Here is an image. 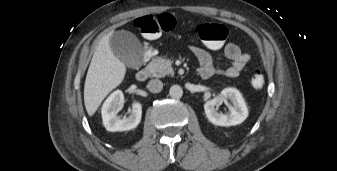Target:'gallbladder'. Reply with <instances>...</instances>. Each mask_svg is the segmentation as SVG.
<instances>
[{"mask_svg": "<svg viewBox=\"0 0 337 171\" xmlns=\"http://www.w3.org/2000/svg\"><path fill=\"white\" fill-rule=\"evenodd\" d=\"M110 47L114 55L128 67L139 68L144 57V50L139 40L130 32L117 31L110 38Z\"/></svg>", "mask_w": 337, "mask_h": 171, "instance_id": "obj_1", "label": "gallbladder"}]
</instances>
